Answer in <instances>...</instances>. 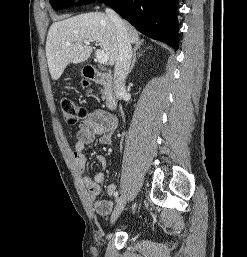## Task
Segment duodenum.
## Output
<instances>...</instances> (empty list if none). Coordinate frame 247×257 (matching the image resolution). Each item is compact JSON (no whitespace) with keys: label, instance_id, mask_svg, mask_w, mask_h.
I'll return each instance as SVG.
<instances>
[{"label":"duodenum","instance_id":"410a0bca","mask_svg":"<svg viewBox=\"0 0 247 257\" xmlns=\"http://www.w3.org/2000/svg\"><path fill=\"white\" fill-rule=\"evenodd\" d=\"M84 76L86 79L106 87V92L104 95L105 105L109 110H113L116 107V95L114 92V76L111 73L100 72L93 66H86L84 68Z\"/></svg>","mask_w":247,"mask_h":257}]
</instances>
